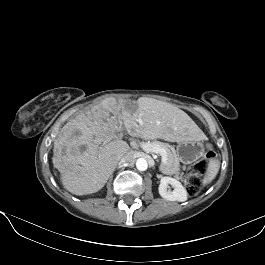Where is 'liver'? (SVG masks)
Returning a JSON list of instances; mask_svg holds the SVG:
<instances>
[{
  "mask_svg": "<svg viewBox=\"0 0 265 265\" xmlns=\"http://www.w3.org/2000/svg\"><path fill=\"white\" fill-rule=\"evenodd\" d=\"M140 121L137 134L170 142L199 140L201 131L178 107L152 98H139L131 111L126 101L107 98L67 122L54 141L53 164L66 190L92 194L104 187L130 147L118 138Z\"/></svg>",
  "mask_w": 265,
  "mask_h": 265,
  "instance_id": "obj_1",
  "label": "liver"
}]
</instances>
